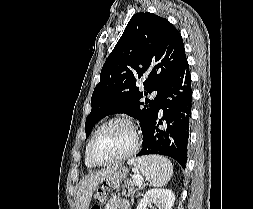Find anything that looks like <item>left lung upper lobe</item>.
<instances>
[{
	"label": "left lung upper lobe",
	"instance_id": "left-lung-upper-lobe-1",
	"mask_svg": "<svg viewBox=\"0 0 253 209\" xmlns=\"http://www.w3.org/2000/svg\"><path fill=\"white\" fill-rule=\"evenodd\" d=\"M185 58L182 37L168 20L148 12L133 15L102 67L86 118L87 137L102 118L126 113L139 120L144 140L163 89ZM140 78L146 79L144 91L136 86ZM152 91L157 95L150 100Z\"/></svg>",
	"mask_w": 253,
	"mask_h": 209
}]
</instances>
